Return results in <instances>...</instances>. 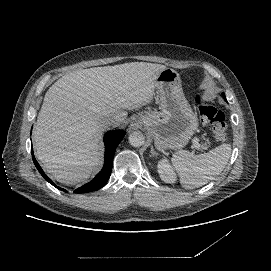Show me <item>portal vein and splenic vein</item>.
<instances>
[{"label":"portal vein and splenic vein","mask_w":271,"mask_h":271,"mask_svg":"<svg viewBox=\"0 0 271 271\" xmlns=\"http://www.w3.org/2000/svg\"><path fill=\"white\" fill-rule=\"evenodd\" d=\"M190 145L192 146L194 151L200 150V143L196 139H190Z\"/></svg>","instance_id":"1"}]
</instances>
